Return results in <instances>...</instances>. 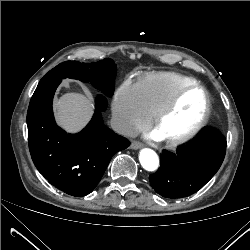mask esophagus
Returning <instances> with one entry per match:
<instances>
[{
	"mask_svg": "<svg viewBox=\"0 0 250 250\" xmlns=\"http://www.w3.org/2000/svg\"><path fill=\"white\" fill-rule=\"evenodd\" d=\"M142 147V144L138 141H134L130 144V148L133 150H138Z\"/></svg>",
	"mask_w": 250,
	"mask_h": 250,
	"instance_id": "esophagus-1",
	"label": "esophagus"
}]
</instances>
